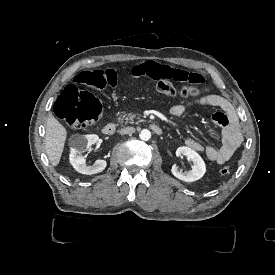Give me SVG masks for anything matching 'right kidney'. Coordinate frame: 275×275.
<instances>
[{"label":"right kidney","instance_id":"obj_1","mask_svg":"<svg viewBox=\"0 0 275 275\" xmlns=\"http://www.w3.org/2000/svg\"><path fill=\"white\" fill-rule=\"evenodd\" d=\"M98 136L94 134L82 135L75 134L69 139L70 146V163L73 168L81 174L93 175L102 172L107 162L105 160H96L92 165H86V158L82 156V153L91 145H94L98 141Z\"/></svg>","mask_w":275,"mask_h":275}]
</instances>
